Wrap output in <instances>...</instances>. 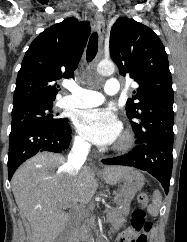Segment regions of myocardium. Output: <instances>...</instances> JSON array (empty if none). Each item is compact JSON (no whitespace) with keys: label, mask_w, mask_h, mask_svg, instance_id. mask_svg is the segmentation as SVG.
<instances>
[{"label":"myocardium","mask_w":187,"mask_h":242,"mask_svg":"<svg viewBox=\"0 0 187 242\" xmlns=\"http://www.w3.org/2000/svg\"><path fill=\"white\" fill-rule=\"evenodd\" d=\"M135 144V136L130 128H125L113 149L118 152L130 150Z\"/></svg>","instance_id":"myocardium-1"}]
</instances>
